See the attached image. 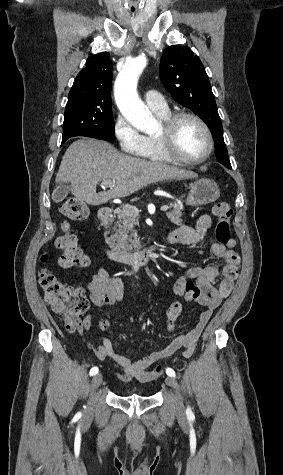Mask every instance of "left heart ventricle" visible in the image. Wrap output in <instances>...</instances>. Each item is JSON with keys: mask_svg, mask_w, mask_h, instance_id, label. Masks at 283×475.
Instances as JSON below:
<instances>
[{"mask_svg": "<svg viewBox=\"0 0 283 475\" xmlns=\"http://www.w3.org/2000/svg\"><path fill=\"white\" fill-rule=\"evenodd\" d=\"M161 132L157 135H161ZM207 148L204 130L198 122L190 118L182 119L174 135L173 144H166L165 149L171 157L193 158L202 155Z\"/></svg>", "mask_w": 283, "mask_h": 475, "instance_id": "b2bd125f", "label": "left heart ventricle"}]
</instances>
